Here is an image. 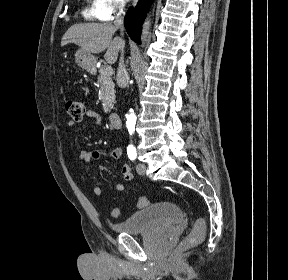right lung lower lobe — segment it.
Instances as JSON below:
<instances>
[{
	"label": "right lung lower lobe",
	"mask_w": 288,
	"mask_h": 280,
	"mask_svg": "<svg viewBox=\"0 0 288 280\" xmlns=\"http://www.w3.org/2000/svg\"><path fill=\"white\" fill-rule=\"evenodd\" d=\"M152 0H140L135 8L130 7L124 18L125 28L130 38L140 43L142 23Z\"/></svg>",
	"instance_id": "right-lung-lower-lobe-1"
}]
</instances>
